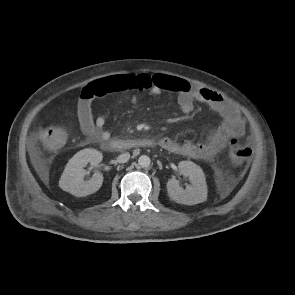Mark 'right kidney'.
<instances>
[{
    "label": "right kidney",
    "instance_id": "1",
    "mask_svg": "<svg viewBox=\"0 0 295 295\" xmlns=\"http://www.w3.org/2000/svg\"><path fill=\"white\" fill-rule=\"evenodd\" d=\"M102 159V153L96 149L87 148L76 153L64 169L59 181L60 188L77 197H84L98 191L102 186L103 175L96 172L90 180L84 181V167L88 163L93 166L98 165Z\"/></svg>",
    "mask_w": 295,
    "mask_h": 295
}]
</instances>
